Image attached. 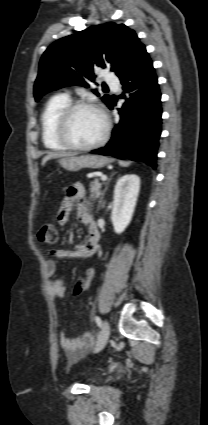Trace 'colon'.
Returning <instances> with one entry per match:
<instances>
[{
  "label": "colon",
  "mask_w": 208,
  "mask_h": 425,
  "mask_svg": "<svg viewBox=\"0 0 208 425\" xmlns=\"http://www.w3.org/2000/svg\"><path fill=\"white\" fill-rule=\"evenodd\" d=\"M39 239L45 244H54L58 239L55 225L52 223L44 224L40 229ZM98 282L97 271L90 269L79 278L75 285L74 293L78 295L86 289L94 288Z\"/></svg>",
  "instance_id": "1"
}]
</instances>
